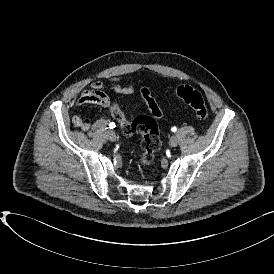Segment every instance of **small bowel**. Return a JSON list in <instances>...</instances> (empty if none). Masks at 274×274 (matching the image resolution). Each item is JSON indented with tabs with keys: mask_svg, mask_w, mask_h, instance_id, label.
<instances>
[{
	"mask_svg": "<svg viewBox=\"0 0 274 274\" xmlns=\"http://www.w3.org/2000/svg\"><path fill=\"white\" fill-rule=\"evenodd\" d=\"M110 90L117 94H130L133 91L131 85H122L119 77H109L106 83L102 81H93L88 89L81 92L76 101L77 106L85 104H95L107 107L111 103V99L107 94ZM73 125L83 131L89 130L91 119L82 115H75L72 119Z\"/></svg>",
	"mask_w": 274,
	"mask_h": 274,
	"instance_id": "c3829d8e",
	"label": "small bowel"
}]
</instances>
